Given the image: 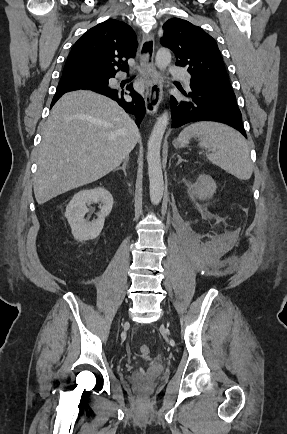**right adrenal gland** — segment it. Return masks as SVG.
Returning a JSON list of instances; mask_svg holds the SVG:
<instances>
[{
    "mask_svg": "<svg viewBox=\"0 0 287 434\" xmlns=\"http://www.w3.org/2000/svg\"><path fill=\"white\" fill-rule=\"evenodd\" d=\"M128 162H129V156H127V157L125 158V160L123 161V165H122V167H118V168H116V170H123L124 175L127 176V173H126V167H127Z\"/></svg>",
    "mask_w": 287,
    "mask_h": 434,
    "instance_id": "right-adrenal-gland-1",
    "label": "right adrenal gland"
}]
</instances>
